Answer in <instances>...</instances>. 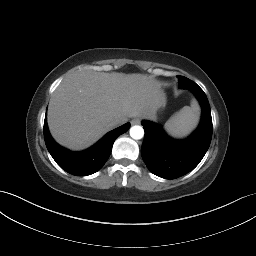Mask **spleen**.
Returning <instances> with one entry per match:
<instances>
[{
  "label": "spleen",
  "instance_id": "obj_1",
  "mask_svg": "<svg viewBox=\"0 0 256 256\" xmlns=\"http://www.w3.org/2000/svg\"><path fill=\"white\" fill-rule=\"evenodd\" d=\"M199 115V105L193 100L190 107H183L176 117L166 123V130L173 137H184L196 127Z\"/></svg>",
  "mask_w": 256,
  "mask_h": 256
}]
</instances>
